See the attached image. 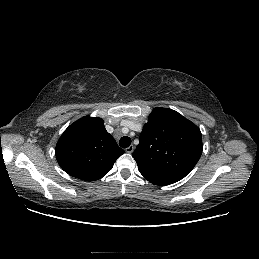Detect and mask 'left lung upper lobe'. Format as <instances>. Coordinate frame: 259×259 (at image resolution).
I'll return each mask as SVG.
<instances>
[{
	"instance_id": "left-lung-upper-lobe-1",
	"label": "left lung upper lobe",
	"mask_w": 259,
	"mask_h": 259,
	"mask_svg": "<svg viewBox=\"0 0 259 259\" xmlns=\"http://www.w3.org/2000/svg\"><path fill=\"white\" fill-rule=\"evenodd\" d=\"M202 150L195 124L172 109L157 107L143 127L133 158L140 172L174 183L194 168Z\"/></svg>"
}]
</instances>
